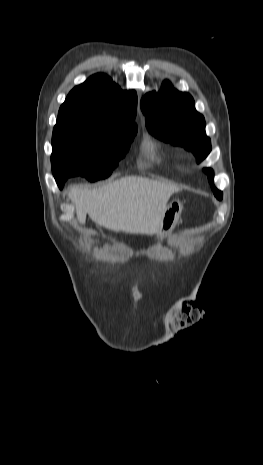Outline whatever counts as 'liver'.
I'll return each mask as SVG.
<instances>
[{"mask_svg": "<svg viewBox=\"0 0 263 465\" xmlns=\"http://www.w3.org/2000/svg\"><path fill=\"white\" fill-rule=\"evenodd\" d=\"M179 187L140 176H127L100 188L79 186L68 189L77 219L85 224L86 215L97 225L130 234L157 233L171 195Z\"/></svg>", "mask_w": 263, "mask_h": 465, "instance_id": "obj_1", "label": "liver"}]
</instances>
